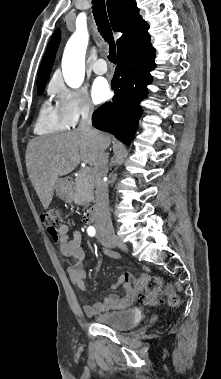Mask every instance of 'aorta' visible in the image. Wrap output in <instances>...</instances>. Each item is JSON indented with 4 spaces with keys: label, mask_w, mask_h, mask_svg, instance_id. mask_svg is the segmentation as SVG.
Masks as SVG:
<instances>
[{
    "label": "aorta",
    "mask_w": 221,
    "mask_h": 379,
    "mask_svg": "<svg viewBox=\"0 0 221 379\" xmlns=\"http://www.w3.org/2000/svg\"><path fill=\"white\" fill-rule=\"evenodd\" d=\"M88 39L87 30L78 29L66 44L62 58V72L65 82L71 88H78L83 83Z\"/></svg>",
    "instance_id": "1"
}]
</instances>
